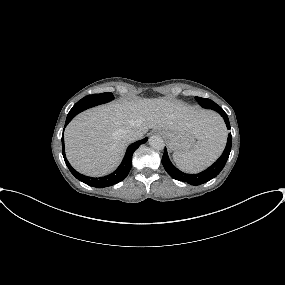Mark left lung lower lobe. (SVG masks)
Returning a JSON list of instances; mask_svg holds the SVG:
<instances>
[{
  "label": "left lung lower lobe",
  "instance_id": "0a47b994",
  "mask_svg": "<svg viewBox=\"0 0 285 285\" xmlns=\"http://www.w3.org/2000/svg\"><path fill=\"white\" fill-rule=\"evenodd\" d=\"M215 111H217L224 118L227 128L230 129V123H229L227 114L222 110L221 107L216 108ZM231 143H232V140H231V133H230L228 135V140H227L225 150L223 154L220 156V158L212 166H210L209 168H207L206 170L198 174H186L178 170L169 160L166 149L162 156V164L165 170L167 171V173L176 180L187 182L195 186L204 184L207 181L216 177L221 172V170L224 168L228 160L230 151H231Z\"/></svg>",
  "mask_w": 285,
  "mask_h": 285
}]
</instances>
